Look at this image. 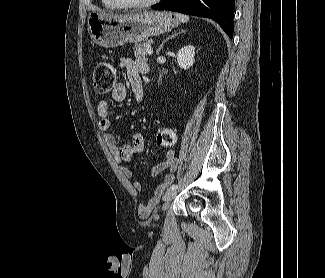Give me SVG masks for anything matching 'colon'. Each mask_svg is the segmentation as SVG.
I'll return each instance as SVG.
<instances>
[{"label":"colon","mask_w":325,"mask_h":278,"mask_svg":"<svg viewBox=\"0 0 325 278\" xmlns=\"http://www.w3.org/2000/svg\"><path fill=\"white\" fill-rule=\"evenodd\" d=\"M116 81L115 69L105 61L98 62L94 68L93 73V88L98 94H106L110 92ZM156 139L165 147H171L175 144L174 131L167 127H161L156 132ZM149 207L146 206L142 209V213L146 214Z\"/></svg>","instance_id":"5ec220e1"}]
</instances>
